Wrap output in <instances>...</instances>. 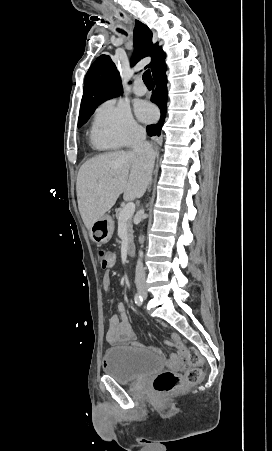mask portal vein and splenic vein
Instances as JSON below:
<instances>
[{
  "label": "portal vein and splenic vein",
  "mask_w": 272,
  "mask_h": 451,
  "mask_svg": "<svg viewBox=\"0 0 272 451\" xmlns=\"http://www.w3.org/2000/svg\"><path fill=\"white\" fill-rule=\"evenodd\" d=\"M135 212V204L133 202H128L126 204L125 208H123L122 212H120L119 216V224H123V222H126V220H129L131 216H133Z\"/></svg>",
  "instance_id": "18ae733b"
}]
</instances>
